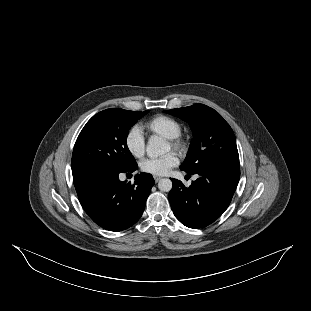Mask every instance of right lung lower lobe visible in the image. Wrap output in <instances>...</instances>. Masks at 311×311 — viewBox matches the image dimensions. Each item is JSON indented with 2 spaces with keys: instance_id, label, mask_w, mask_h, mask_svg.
Masks as SVG:
<instances>
[{
  "instance_id": "98d812e1",
  "label": "right lung lower lobe",
  "mask_w": 311,
  "mask_h": 311,
  "mask_svg": "<svg viewBox=\"0 0 311 311\" xmlns=\"http://www.w3.org/2000/svg\"><path fill=\"white\" fill-rule=\"evenodd\" d=\"M105 167H86L73 174L79 201L88 216L99 226L110 231H122L135 224L145 209L147 197L155 181L151 174L135 175L131 184L119 180L120 173Z\"/></svg>"
}]
</instances>
